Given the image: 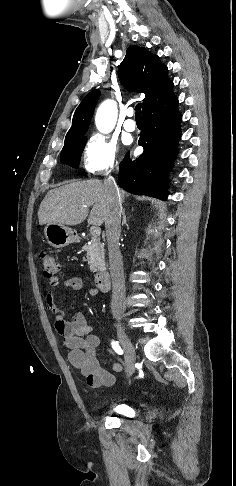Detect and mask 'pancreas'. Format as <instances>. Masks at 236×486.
<instances>
[{
	"label": "pancreas",
	"mask_w": 236,
	"mask_h": 486,
	"mask_svg": "<svg viewBox=\"0 0 236 486\" xmlns=\"http://www.w3.org/2000/svg\"><path fill=\"white\" fill-rule=\"evenodd\" d=\"M83 250L86 251L91 272L95 273L106 270L104 245L98 237H92L91 243L85 244Z\"/></svg>",
	"instance_id": "pancreas-1"
}]
</instances>
